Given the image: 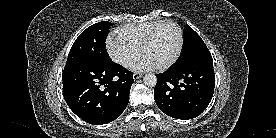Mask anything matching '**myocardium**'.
<instances>
[{"label": "myocardium", "instance_id": "1", "mask_svg": "<svg viewBox=\"0 0 276 138\" xmlns=\"http://www.w3.org/2000/svg\"><path fill=\"white\" fill-rule=\"evenodd\" d=\"M166 24H171L173 26L176 27V29L178 30V33H179V45H178V48H177V51L174 55V57L168 61L167 63L161 65V66H158V69L160 70H166L168 68H170L172 65H174L177 60L179 59L180 55H181V52L183 50V46H184V31L181 27V25L174 21V20H163L161 21L151 32L150 34L148 35V37L146 38V40L144 41V43L142 44L141 46V52L144 53V51L146 50V48L151 45V43L154 41L158 31L160 30V28Z\"/></svg>", "mask_w": 276, "mask_h": 138}]
</instances>
